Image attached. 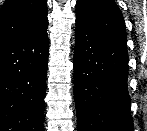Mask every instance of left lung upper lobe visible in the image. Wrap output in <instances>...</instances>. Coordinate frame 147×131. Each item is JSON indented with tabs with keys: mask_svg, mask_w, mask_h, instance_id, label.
Instances as JSON below:
<instances>
[{
	"mask_svg": "<svg viewBox=\"0 0 147 131\" xmlns=\"http://www.w3.org/2000/svg\"><path fill=\"white\" fill-rule=\"evenodd\" d=\"M76 21L115 41L127 42L123 15L113 0H78Z\"/></svg>",
	"mask_w": 147,
	"mask_h": 131,
	"instance_id": "1",
	"label": "left lung upper lobe"
}]
</instances>
